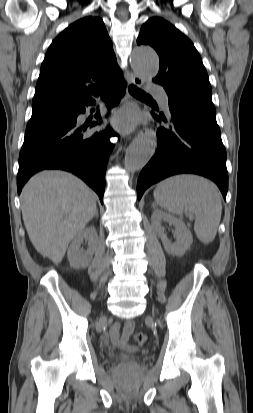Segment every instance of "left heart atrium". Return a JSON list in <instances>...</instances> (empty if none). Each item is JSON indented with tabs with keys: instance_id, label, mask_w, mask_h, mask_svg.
I'll use <instances>...</instances> for the list:
<instances>
[{
	"instance_id": "obj_1",
	"label": "left heart atrium",
	"mask_w": 253,
	"mask_h": 413,
	"mask_svg": "<svg viewBox=\"0 0 253 413\" xmlns=\"http://www.w3.org/2000/svg\"><path fill=\"white\" fill-rule=\"evenodd\" d=\"M116 124L125 131L132 129L136 122L135 114L130 110H124L115 117Z\"/></svg>"
}]
</instances>
